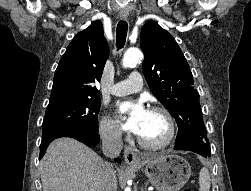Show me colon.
I'll return each instance as SVG.
<instances>
[{"label":"colon","mask_w":251,"mask_h":191,"mask_svg":"<svg viewBox=\"0 0 251 191\" xmlns=\"http://www.w3.org/2000/svg\"><path fill=\"white\" fill-rule=\"evenodd\" d=\"M183 191H192L191 188H184Z\"/></svg>","instance_id":"obj_1"}]
</instances>
